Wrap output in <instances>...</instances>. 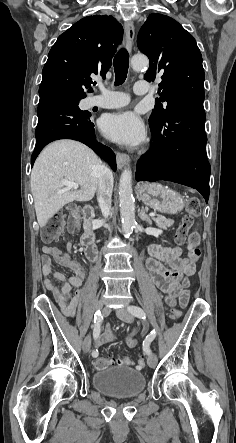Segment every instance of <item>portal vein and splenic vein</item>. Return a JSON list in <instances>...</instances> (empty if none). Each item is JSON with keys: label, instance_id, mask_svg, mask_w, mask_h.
Wrapping results in <instances>:
<instances>
[{"label": "portal vein and splenic vein", "instance_id": "portal-vein-and-splenic-vein-1", "mask_svg": "<svg viewBox=\"0 0 236 443\" xmlns=\"http://www.w3.org/2000/svg\"><path fill=\"white\" fill-rule=\"evenodd\" d=\"M62 184L66 187L67 190H70V189H78V187H79V185H78L77 183L70 182V181H67V180H63V181H62ZM149 215H150L151 217H154V216H155V213L151 212Z\"/></svg>", "mask_w": 236, "mask_h": 443}]
</instances>
